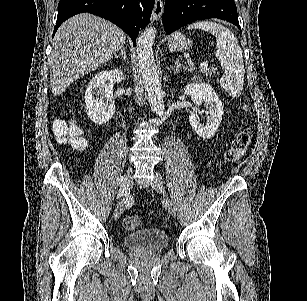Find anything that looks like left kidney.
<instances>
[{
  "instance_id": "1",
  "label": "left kidney",
  "mask_w": 307,
  "mask_h": 301,
  "mask_svg": "<svg viewBox=\"0 0 307 301\" xmlns=\"http://www.w3.org/2000/svg\"><path fill=\"white\" fill-rule=\"evenodd\" d=\"M184 94L191 96L194 104H206L207 110L205 112L208 114L206 124L199 122L196 110L190 112L189 122L201 138H211L219 128L224 112V106L218 94H216L211 84H207V82H190V84H186Z\"/></svg>"
}]
</instances>
